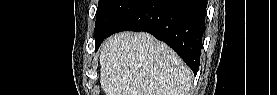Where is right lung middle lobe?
<instances>
[{
  "instance_id": "1",
  "label": "right lung middle lobe",
  "mask_w": 277,
  "mask_h": 95,
  "mask_svg": "<svg viewBox=\"0 0 277 95\" xmlns=\"http://www.w3.org/2000/svg\"><path fill=\"white\" fill-rule=\"evenodd\" d=\"M144 0H99L95 23V51L111 30Z\"/></svg>"
}]
</instances>
